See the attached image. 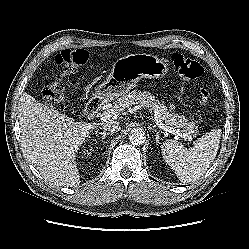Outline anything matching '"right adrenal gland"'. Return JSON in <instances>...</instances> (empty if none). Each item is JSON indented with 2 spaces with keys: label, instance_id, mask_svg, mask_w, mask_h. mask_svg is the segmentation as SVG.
Segmentation results:
<instances>
[{
  "label": "right adrenal gland",
  "instance_id": "obj_1",
  "mask_svg": "<svg viewBox=\"0 0 249 249\" xmlns=\"http://www.w3.org/2000/svg\"><path fill=\"white\" fill-rule=\"evenodd\" d=\"M102 135V139L104 140L108 135H112V133H106V132H98L96 131L95 134Z\"/></svg>",
  "mask_w": 249,
  "mask_h": 249
}]
</instances>
